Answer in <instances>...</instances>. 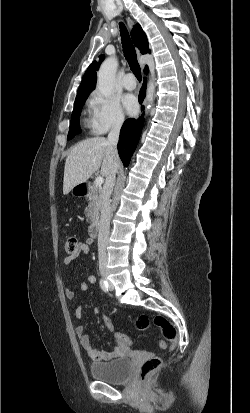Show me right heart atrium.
Here are the masks:
<instances>
[{"mask_svg":"<svg viewBox=\"0 0 250 413\" xmlns=\"http://www.w3.org/2000/svg\"><path fill=\"white\" fill-rule=\"evenodd\" d=\"M90 125L95 134H105L120 129L125 121L123 110L116 96L95 92L90 99Z\"/></svg>","mask_w":250,"mask_h":413,"instance_id":"obj_1","label":"right heart atrium"}]
</instances>
